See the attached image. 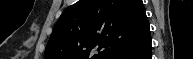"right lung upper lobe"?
<instances>
[{
  "label": "right lung upper lobe",
  "instance_id": "obj_1",
  "mask_svg": "<svg viewBox=\"0 0 193 59\" xmlns=\"http://www.w3.org/2000/svg\"><path fill=\"white\" fill-rule=\"evenodd\" d=\"M149 31L142 0H79L60 16L44 59H111Z\"/></svg>",
  "mask_w": 193,
  "mask_h": 59
}]
</instances>
